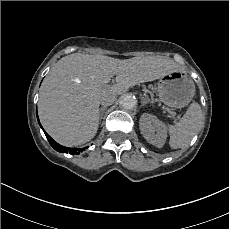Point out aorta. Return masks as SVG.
I'll list each match as a JSON object with an SVG mask.
<instances>
[{
  "label": "aorta",
  "mask_w": 229,
  "mask_h": 229,
  "mask_svg": "<svg viewBox=\"0 0 229 229\" xmlns=\"http://www.w3.org/2000/svg\"><path fill=\"white\" fill-rule=\"evenodd\" d=\"M120 105L125 110H133L137 106V100L132 95H124L120 99Z\"/></svg>",
  "instance_id": "1"
}]
</instances>
